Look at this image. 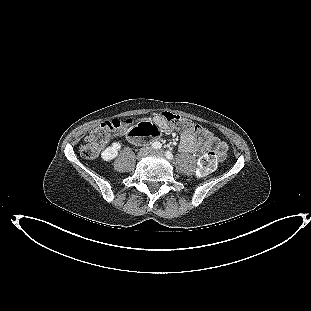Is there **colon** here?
<instances>
[{"mask_svg":"<svg viewBox=\"0 0 311 311\" xmlns=\"http://www.w3.org/2000/svg\"><path fill=\"white\" fill-rule=\"evenodd\" d=\"M163 117L173 127L182 133L191 134L196 142L207 146L208 152L199 160L198 174L201 176L209 174L226 157V146L214 137L207 129L194 123L192 120L175 115L171 112H164ZM129 118L113 119L106 121L94 128L85 138L84 144L80 147V154L86 159L97 157L99 152L115 136L122 134L129 126ZM132 135L155 136L157 130L150 126H142L131 131Z\"/></svg>","mask_w":311,"mask_h":311,"instance_id":"colon-1","label":"colon"}]
</instances>
